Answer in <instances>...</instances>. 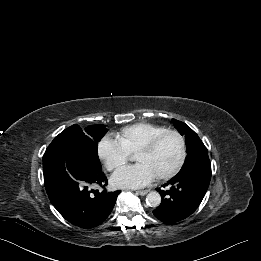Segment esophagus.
<instances>
[{"label": "esophagus", "instance_id": "obj_1", "mask_svg": "<svg viewBox=\"0 0 261 261\" xmlns=\"http://www.w3.org/2000/svg\"><path fill=\"white\" fill-rule=\"evenodd\" d=\"M149 192V190H140V191H137L136 193L141 195V196H144L146 195L147 193Z\"/></svg>", "mask_w": 261, "mask_h": 261}]
</instances>
